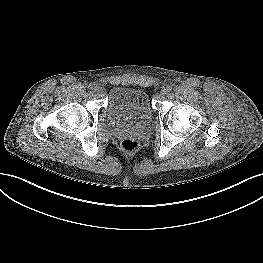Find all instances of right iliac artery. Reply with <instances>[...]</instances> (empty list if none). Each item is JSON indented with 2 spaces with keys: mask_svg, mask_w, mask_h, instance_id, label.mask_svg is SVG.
<instances>
[{
  "mask_svg": "<svg viewBox=\"0 0 263 263\" xmlns=\"http://www.w3.org/2000/svg\"><path fill=\"white\" fill-rule=\"evenodd\" d=\"M88 88H92V83H90V84L88 85Z\"/></svg>",
  "mask_w": 263,
  "mask_h": 263,
  "instance_id": "1",
  "label": "right iliac artery"
}]
</instances>
